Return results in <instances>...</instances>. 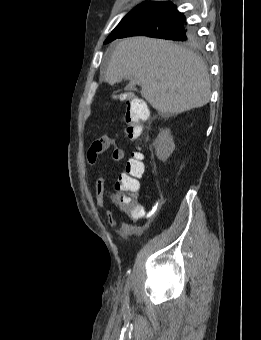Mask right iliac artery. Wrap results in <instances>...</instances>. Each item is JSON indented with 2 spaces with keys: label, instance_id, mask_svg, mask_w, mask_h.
<instances>
[{
  "label": "right iliac artery",
  "instance_id": "82829eb1",
  "mask_svg": "<svg viewBox=\"0 0 261 340\" xmlns=\"http://www.w3.org/2000/svg\"><path fill=\"white\" fill-rule=\"evenodd\" d=\"M127 287H129V281H127ZM125 304L128 306V299L126 298Z\"/></svg>",
  "mask_w": 261,
  "mask_h": 340
}]
</instances>
